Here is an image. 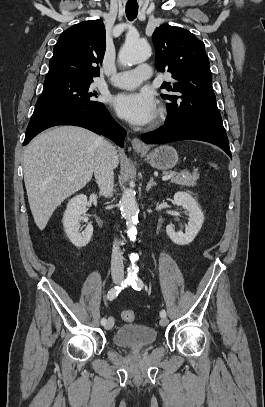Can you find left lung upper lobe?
I'll return each mask as SVG.
<instances>
[{"label": "left lung upper lobe", "instance_id": "obj_1", "mask_svg": "<svg viewBox=\"0 0 265 407\" xmlns=\"http://www.w3.org/2000/svg\"><path fill=\"white\" fill-rule=\"evenodd\" d=\"M156 52L155 66L172 73V82L161 88L168 101L165 125L195 124L226 135L216 97L204 43L188 30L162 25L152 36Z\"/></svg>", "mask_w": 265, "mask_h": 407}]
</instances>
